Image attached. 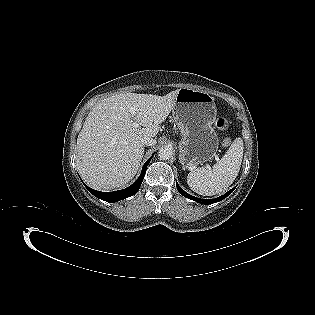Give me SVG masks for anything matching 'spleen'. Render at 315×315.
<instances>
[{"instance_id":"1","label":"spleen","mask_w":315,"mask_h":315,"mask_svg":"<svg viewBox=\"0 0 315 315\" xmlns=\"http://www.w3.org/2000/svg\"><path fill=\"white\" fill-rule=\"evenodd\" d=\"M243 149V140L236 138L212 169L205 167L192 169L187 176L191 190L204 196L216 195L226 190L239 173Z\"/></svg>"}]
</instances>
